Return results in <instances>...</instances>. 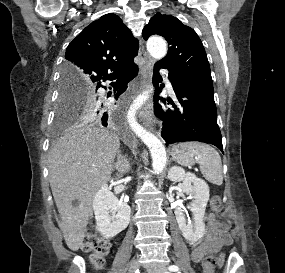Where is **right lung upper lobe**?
<instances>
[{"instance_id":"cb5924a9","label":"right lung upper lobe","mask_w":285,"mask_h":273,"mask_svg":"<svg viewBox=\"0 0 285 273\" xmlns=\"http://www.w3.org/2000/svg\"><path fill=\"white\" fill-rule=\"evenodd\" d=\"M138 47V40L120 17L105 14L68 45L63 72L95 85L103 77L133 64Z\"/></svg>"}]
</instances>
